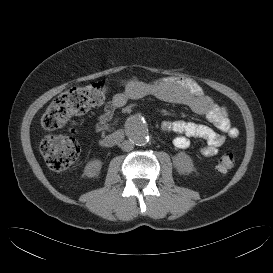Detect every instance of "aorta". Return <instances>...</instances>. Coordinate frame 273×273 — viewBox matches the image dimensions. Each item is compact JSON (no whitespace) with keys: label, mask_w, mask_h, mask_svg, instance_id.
I'll use <instances>...</instances> for the list:
<instances>
[{"label":"aorta","mask_w":273,"mask_h":273,"mask_svg":"<svg viewBox=\"0 0 273 273\" xmlns=\"http://www.w3.org/2000/svg\"><path fill=\"white\" fill-rule=\"evenodd\" d=\"M126 132L130 136L132 142L138 146L148 144L150 140L149 131L146 123L140 118H132L126 126Z\"/></svg>","instance_id":"aorta-1"}]
</instances>
